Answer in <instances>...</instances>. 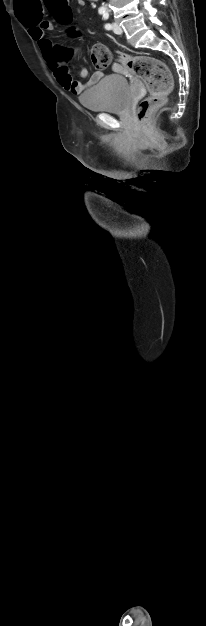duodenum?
Listing matches in <instances>:
<instances>
[{"label": "duodenum", "mask_w": 206, "mask_h": 626, "mask_svg": "<svg viewBox=\"0 0 206 626\" xmlns=\"http://www.w3.org/2000/svg\"><path fill=\"white\" fill-rule=\"evenodd\" d=\"M90 1H94V2H95V1H97V0H90Z\"/></svg>", "instance_id": "obj_1"}]
</instances>
